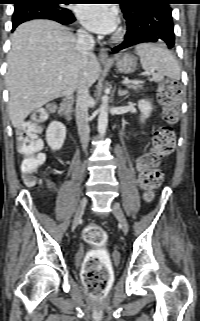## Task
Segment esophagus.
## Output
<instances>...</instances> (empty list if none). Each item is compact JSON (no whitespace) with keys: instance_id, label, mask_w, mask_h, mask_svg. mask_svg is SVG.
Masks as SVG:
<instances>
[{"instance_id":"esophagus-1","label":"esophagus","mask_w":200,"mask_h":321,"mask_svg":"<svg viewBox=\"0 0 200 321\" xmlns=\"http://www.w3.org/2000/svg\"><path fill=\"white\" fill-rule=\"evenodd\" d=\"M99 59L100 61L102 62H108L110 61V58H109V55H108V52L105 48H101L100 51H99Z\"/></svg>"}]
</instances>
